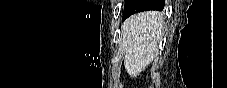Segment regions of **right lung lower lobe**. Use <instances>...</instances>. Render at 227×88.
<instances>
[{"instance_id": "obj_1", "label": "right lung lower lobe", "mask_w": 227, "mask_h": 88, "mask_svg": "<svg viewBox=\"0 0 227 88\" xmlns=\"http://www.w3.org/2000/svg\"><path fill=\"white\" fill-rule=\"evenodd\" d=\"M165 6V0H132L124 9L123 20L130 15L147 10L161 11Z\"/></svg>"}]
</instances>
